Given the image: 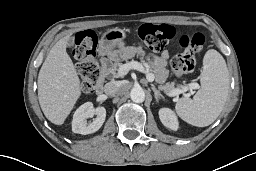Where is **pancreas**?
<instances>
[{"label":"pancreas","mask_w":256,"mask_h":171,"mask_svg":"<svg viewBox=\"0 0 256 171\" xmlns=\"http://www.w3.org/2000/svg\"><path fill=\"white\" fill-rule=\"evenodd\" d=\"M144 54H142L141 59H144ZM147 61V66L149 67V70L152 74H154L156 82L159 83V88L162 90L165 94L169 95L172 91L178 89L174 87L173 82H167L164 84L168 77V71L165 68H157L153 65L152 60L150 56L145 57ZM122 63L119 62H114L111 64V66L106 69L105 73L106 75H109L112 78H119L122 77L119 73L118 70Z\"/></svg>","instance_id":"obj_1"}]
</instances>
